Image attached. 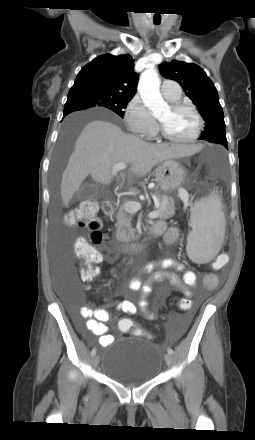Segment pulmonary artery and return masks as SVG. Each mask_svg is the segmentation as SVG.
I'll list each match as a JSON object with an SVG mask.
<instances>
[{"label": "pulmonary artery", "instance_id": "e3ab8cb5", "mask_svg": "<svg viewBox=\"0 0 255 440\" xmlns=\"http://www.w3.org/2000/svg\"><path fill=\"white\" fill-rule=\"evenodd\" d=\"M161 92L167 100H173L180 98L181 89L172 80H164L161 85Z\"/></svg>", "mask_w": 255, "mask_h": 440}]
</instances>
